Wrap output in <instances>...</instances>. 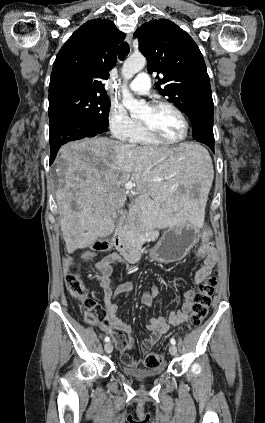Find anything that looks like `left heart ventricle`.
Masks as SVG:
<instances>
[{
  "instance_id": "1",
  "label": "left heart ventricle",
  "mask_w": 265,
  "mask_h": 423,
  "mask_svg": "<svg viewBox=\"0 0 265 423\" xmlns=\"http://www.w3.org/2000/svg\"><path fill=\"white\" fill-rule=\"evenodd\" d=\"M139 120L150 124L158 133L167 139H179L184 133L183 121L169 108L163 107L152 110L150 107H147Z\"/></svg>"
}]
</instances>
